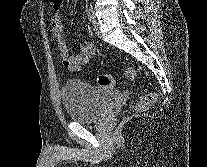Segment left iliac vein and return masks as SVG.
<instances>
[{
    "label": "left iliac vein",
    "mask_w": 207,
    "mask_h": 167,
    "mask_svg": "<svg viewBox=\"0 0 207 167\" xmlns=\"http://www.w3.org/2000/svg\"><path fill=\"white\" fill-rule=\"evenodd\" d=\"M93 30L97 37H102L100 25L96 20L93 22Z\"/></svg>",
    "instance_id": "1"
}]
</instances>
